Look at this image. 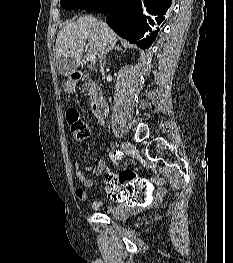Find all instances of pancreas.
Segmentation results:
<instances>
[{
	"label": "pancreas",
	"mask_w": 233,
	"mask_h": 263,
	"mask_svg": "<svg viewBox=\"0 0 233 263\" xmlns=\"http://www.w3.org/2000/svg\"><path fill=\"white\" fill-rule=\"evenodd\" d=\"M84 79H85V83L83 85V89L88 90L90 101H93L98 95L99 86L97 82L93 81L88 76H85Z\"/></svg>",
	"instance_id": "1"
}]
</instances>
